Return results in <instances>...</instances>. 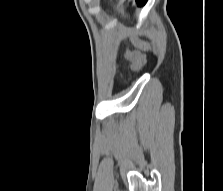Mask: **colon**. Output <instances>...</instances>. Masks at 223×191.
Segmentation results:
<instances>
[{
	"mask_svg": "<svg viewBox=\"0 0 223 191\" xmlns=\"http://www.w3.org/2000/svg\"><path fill=\"white\" fill-rule=\"evenodd\" d=\"M134 46L139 52H146L150 50V44L146 40L136 39L134 40Z\"/></svg>",
	"mask_w": 223,
	"mask_h": 191,
	"instance_id": "colon-1",
	"label": "colon"
}]
</instances>
